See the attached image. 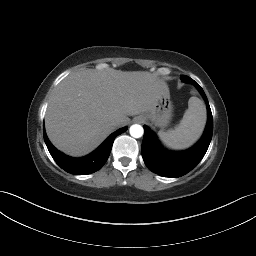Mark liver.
Returning <instances> with one entry per match:
<instances>
[{
  "label": "liver",
  "instance_id": "1",
  "mask_svg": "<svg viewBox=\"0 0 256 256\" xmlns=\"http://www.w3.org/2000/svg\"><path fill=\"white\" fill-rule=\"evenodd\" d=\"M145 71L92 69L71 73L54 89L45 115L48 138L60 151L84 156L98 147L128 116L149 111L167 91ZM118 120L120 125L114 126Z\"/></svg>",
  "mask_w": 256,
  "mask_h": 256
}]
</instances>
